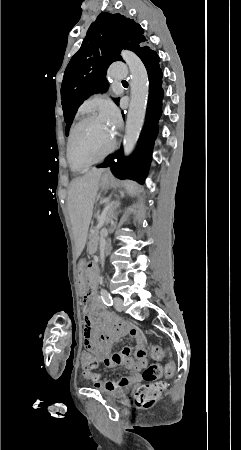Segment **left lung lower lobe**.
I'll return each mask as SVG.
<instances>
[{
	"label": "left lung lower lobe",
	"instance_id": "0a47b994",
	"mask_svg": "<svg viewBox=\"0 0 241 450\" xmlns=\"http://www.w3.org/2000/svg\"><path fill=\"white\" fill-rule=\"evenodd\" d=\"M149 78V99L146 110L145 124L137 148L129 159L123 157V150L106 157L104 163L97 167H110L118 178H129L144 183L152 159V149L158 133V120L162 113L163 98L162 72L159 57L149 49L140 56ZM124 117V114H123Z\"/></svg>",
	"mask_w": 241,
	"mask_h": 450
}]
</instances>
